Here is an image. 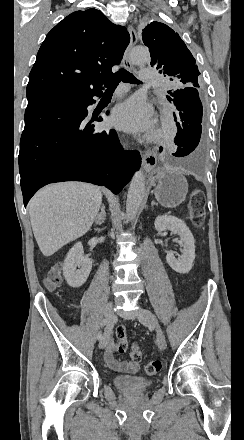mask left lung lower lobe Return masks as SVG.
Instances as JSON below:
<instances>
[{
  "instance_id": "left-lung-lower-lobe-1",
  "label": "left lung lower lobe",
  "mask_w": 244,
  "mask_h": 440,
  "mask_svg": "<svg viewBox=\"0 0 244 440\" xmlns=\"http://www.w3.org/2000/svg\"><path fill=\"white\" fill-rule=\"evenodd\" d=\"M176 106L174 121L178 132L175 137L177 151L173 153L176 157H184L190 154L199 144L202 131V103L196 87H186L174 92L168 91Z\"/></svg>"
}]
</instances>
